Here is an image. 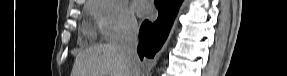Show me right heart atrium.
I'll return each mask as SVG.
<instances>
[{"mask_svg":"<svg viewBox=\"0 0 287 76\" xmlns=\"http://www.w3.org/2000/svg\"><path fill=\"white\" fill-rule=\"evenodd\" d=\"M91 12L106 40L117 41L135 34L138 30L133 11L121 0H95Z\"/></svg>","mask_w":287,"mask_h":76,"instance_id":"1","label":"right heart atrium"}]
</instances>
